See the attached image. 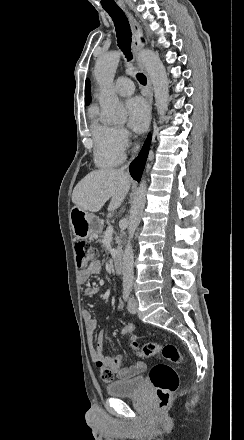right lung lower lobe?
Returning <instances> with one entry per match:
<instances>
[{
    "instance_id": "obj_1",
    "label": "right lung lower lobe",
    "mask_w": 244,
    "mask_h": 440,
    "mask_svg": "<svg viewBox=\"0 0 244 440\" xmlns=\"http://www.w3.org/2000/svg\"><path fill=\"white\" fill-rule=\"evenodd\" d=\"M151 142V134L148 135L142 150L140 151L138 157L130 164L129 170L132 178L136 181H140L142 172L147 160L149 147Z\"/></svg>"
}]
</instances>
